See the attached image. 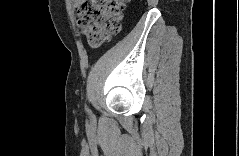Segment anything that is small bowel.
<instances>
[{
	"instance_id": "1",
	"label": "small bowel",
	"mask_w": 239,
	"mask_h": 156,
	"mask_svg": "<svg viewBox=\"0 0 239 156\" xmlns=\"http://www.w3.org/2000/svg\"><path fill=\"white\" fill-rule=\"evenodd\" d=\"M79 2H80V1H78V0H77V1H75V3H76V4H78Z\"/></svg>"
}]
</instances>
